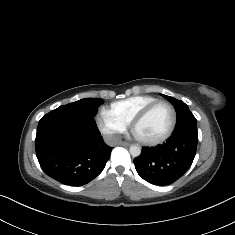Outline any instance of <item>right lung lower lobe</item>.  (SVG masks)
<instances>
[{
    "mask_svg": "<svg viewBox=\"0 0 235 235\" xmlns=\"http://www.w3.org/2000/svg\"><path fill=\"white\" fill-rule=\"evenodd\" d=\"M35 145L42 170L71 186H82L98 176L112 149L103 141L93 117L58 109L39 121Z\"/></svg>",
    "mask_w": 235,
    "mask_h": 235,
    "instance_id": "1",
    "label": "right lung lower lobe"
}]
</instances>
